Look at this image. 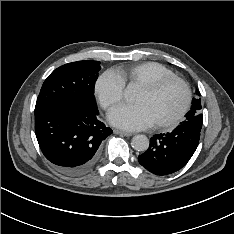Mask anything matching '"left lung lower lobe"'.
Returning a JSON list of instances; mask_svg holds the SVG:
<instances>
[{
    "label": "left lung lower lobe",
    "instance_id": "1",
    "mask_svg": "<svg viewBox=\"0 0 234 234\" xmlns=\"http://www.w3.org/2000/svg\"><path fill=\"white\" fill-rule=\"evenodd\" d=\"M200 132L180 124L170 133L156 134L150 139L148 150L138 156V161L153 174H172L192 157L199 143Z\"/></svg>",
    "mask_w": 234,
    "mask_h": 234
}]
</instances>
